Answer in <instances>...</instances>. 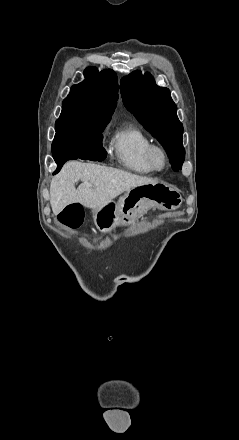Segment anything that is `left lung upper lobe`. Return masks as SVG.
Instances as JSON below:
<instances>
[{"instance_id":"5c2ea615","label":"left lung upper lobe","mask_w":239,"mask_h":440,"mask_svg":"<svg viewBox=\"0 0 239 440\" xmlns=\"http://www.w3.org/2000/svg\"><path fill=\"white\" fill-rule=\"evenodd\" d=\"M120 90L127 109L165 148L173 170H181L185 158L183 125L169 89L157 86L150 74L135 71L121 79Z\"/></svg>"}]
</instances>
